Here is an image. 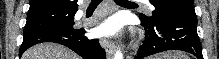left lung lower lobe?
<instances>
[{
  "label": "left lung lower lobe",
  "mask_w": 219,
  "mask_h": 59,
  "mask_svg": "<svg viewBox=\"0 0 219 59\" xmlns=\"http://www.w3.org/2000/svg\"><path fill=\"white\" fill-rule=\"evenodd\" d=\"M141 25L145 29V40L135 59H143L167 50H181L203 59L193 5L171 16L159 18L156 22L141 20Z\"/></svg>",
  "instance_id": "1"
}]
</instances>
